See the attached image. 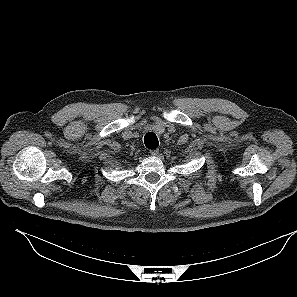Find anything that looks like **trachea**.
Instances as JSON below:
<instances>
[{
    "label": "trachea",
    "instance_id": "trachea-1",
    "mask_svg": "<svg viewBox=\"0 0 297 297\" xmlns=\"http://www.w3.org/2000/svg\"><path fill=\"white\" fill-rule=\"evenodd\" d=\"M145 146L149 149H156L159 146L158 138L155 133L148 132L144 136Z\"/></svg>",
    "mask_w": 297,
    "mask_h": 297
}]
</instances>
